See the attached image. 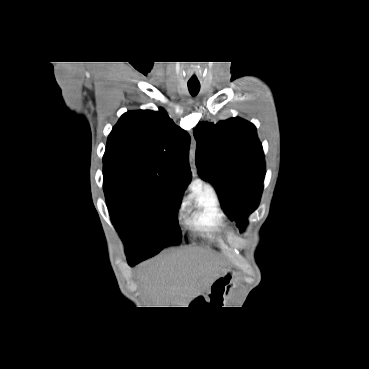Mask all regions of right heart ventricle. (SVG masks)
I'll return each instance as SVG.
<instances>
[{"instance_id": "obj_1", "label": "right heart ventricle", "mask_w": 369, "mask_h": 369, "mask_svg": "<svg viewBox=\"0 0 369 369\" xmlns=\"http://www.w3.org/2000/svg\"><path fill=\"white\" fill-rule=\"evenodd\" d=\"M187 222L204 235L220 231L225 224L218 196L210 186L206 185L193 194Z\"/></svg>"}]
</instances>
